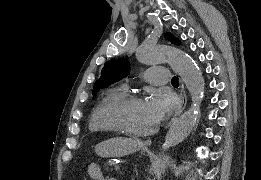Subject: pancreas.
<instances>
[{
    "instance_id": "obj_1",
    "label": "pancreas",
    "mask_w": 261,
    "mask_h": 180,
    "mask_svg": "<svg viewBox=\"0 0 261 180\" xmlns=\"http://www.w3.org/2000/svg\"><path fill=\"white\" fill-rule=\"evenodd\" d=\"M102 166L104 167V170H111V160L110 159H105L104 162L102 163Z\"/></svg>"
}]
</instances>
